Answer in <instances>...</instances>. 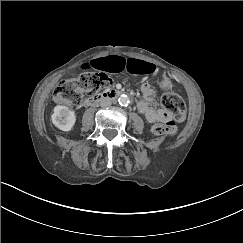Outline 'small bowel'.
<instances>
[{
  "instance_id": "small-bowel-1",
  "label": "small bowel",
  "mask_w": 243,
  "mask_h": 243,
  "mask_svg": "<svg viewBox=\"0 0 243 243\" xmlns=\"http://www.w3.org/2000/svg\"><path fill=\"white\" fill-rule=\"evenodd\" d=\"M82 69L109 73L152 74L156 67L154 64L144 60L111 55L89 61L82 65ZM141 90L143 99L138 103L139 111L151 123L165 121L168 118L167 114L152 106V102L154 101L153 89L148 84H143Z\"/></svg>"
}]
</instances>
